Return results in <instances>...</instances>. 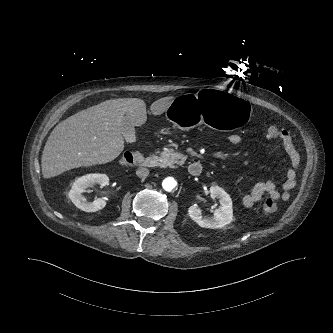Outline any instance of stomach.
<instances>
[{
	"mask_svg": "<svg viewBox=\"0 0 333 333\" xmlns=\"http://www.w3.org/2000/svg\"><path fill=\"white\" fill-rule=\"evenodd\" d=\"M170 122L187 129L199 120L217 131L239 130L251 118L248 101L233 93H224L216 88H207L199 94H184L173 98L167 107ZM170 133V128H164Z\"/></svg>",
	"mask_w": 333,
	"mask_h": 333,
	"instance_id": "1",
	"label": "stomach"
}]
</instances>
